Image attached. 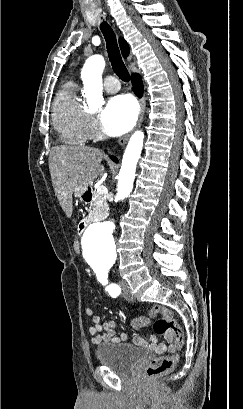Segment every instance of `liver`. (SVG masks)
I'll list each match as a JSON object with an SVG mask.
<instances>
[{
  "mask_svg": "<svg viewBox=\"0 0 243 409\" xmlns=\"http://www.w3.org/2000/svg\"><path fill=\"white\" fill-rule=\"evenodd\" d=\"M104 153L87 146H55L49 153V170L58 201L69 217L76 185L87 187L104 173Z\"/></svg>",
  "mask_w": 243,
  "mask_h": 409,
  "instance_id": "liver-1",
  "label": "liver"
}]
</instances>
